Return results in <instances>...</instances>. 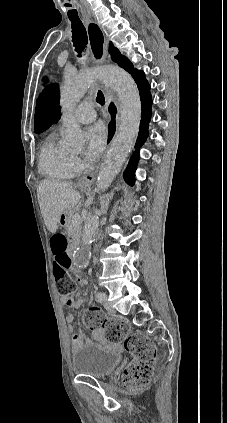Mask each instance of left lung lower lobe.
Here are the masks:
<instances>
[{
	"label": "left lung lower lobe",
	"instance_id": "0a47b994",
	"mask_svg": "<svg viewBox=\"0 0 227 423\" xmlns=\"http://www.w3.org/2000/svg\"><path fill=\"white\" fill-rule=\"evenodd\" d=\"M138 89L140 91V100L142 103V113H141V122H140V128H139V134L137 137L135 148L137 149L134 154L132 155L129 165L127 169L125 170L123 177L124 180L129 184H134V176H135V170L139 158V148L143 145V143L146 141V138L148 136V124L151 119V106H152V99L150 94V85L148 81L145 78V75H143L138 81H136Z\"/></svg>",
	"mask_w": 227,
	"mask_h": 423
}]
</instances>
